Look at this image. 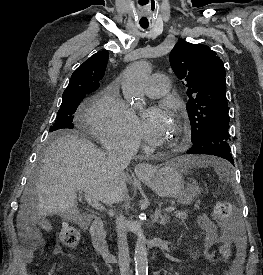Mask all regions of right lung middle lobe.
Masks as SVG:
<instances>
[{
  "instance_id": "obj_1",
  "label": "right lung middle lobe",
  "mask_w": 263,
  "mask_h": 275,
  "mask_svg": "<svg viewBox=\"0 0 263 275\" xmlns=\"http://www.w3.org/2000/svg\"><path fill=\"white\" fill-rule=\"evenodd\" d=\"M86 91H77L64 94L60 109L57 113L55 123L50 127V132L60 129H72L74 127L73 114L82 101Z\"/></svg>"
}]
</instances>
